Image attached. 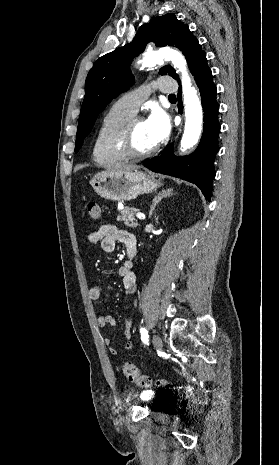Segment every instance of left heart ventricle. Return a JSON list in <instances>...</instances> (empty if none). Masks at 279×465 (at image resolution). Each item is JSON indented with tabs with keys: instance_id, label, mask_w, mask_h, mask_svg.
I'll use <instances>...</instances> for the list:
<instances>
[{
	"instance_id": "b2bd125f",
	"label": "left heart ventricle",
	"mask_w": 279,
	"mask_h": 465,
	"mask_svg": "<svg viewBox=\"0 0 279 465\" xmlns=\"http://www.w3.org/2000/svg\"><path fill=\"white\" fill-rule=\"evenodd\" d=\"M154 145L155 143L149 134L145 122L141 120L135 123L131 131L129 147L133 151L141 152L150 149Z\"/></svg>"
}]
</instances>
